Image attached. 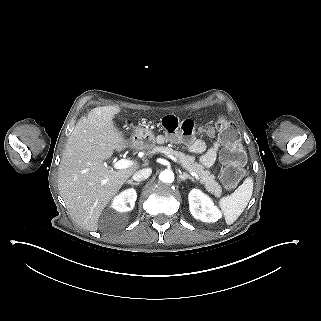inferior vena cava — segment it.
Listing matches in <instances>:
<instances>
[{
	"mask_svg": "<svg viewBox=\"0 0 321 321\" xmlns=\"http://www.w3.org/2000/svg\"><path fill=\"white\" fill-rule=\"evenodd\" d=\"M151 174H152L151 168H144L139 170L137 173L133 175V180L140 182L148 179Z\"/></svg>",
	"mask_w": 321,
	"mask_h": 321,
	"instance_id": "602c4592",
	"label": "inferior vena cava"
}]
</instances>
